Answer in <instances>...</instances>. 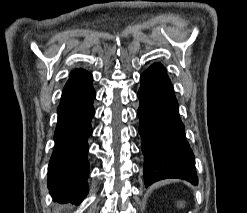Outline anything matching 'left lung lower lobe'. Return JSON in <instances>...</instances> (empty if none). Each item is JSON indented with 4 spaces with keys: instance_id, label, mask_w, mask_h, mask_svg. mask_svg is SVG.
Returning a JSON list of instances; mask_svg holds the SVG:
<instances>
[{
    "instance_id": "0a47b994",
    "label": "left lung lower lobe",
    "mask_w": 247,
    "mask_h": 213,
    "mask_svg": "<svg viewBox=\"0 0 247 213\" xmlns=\"http://www.w3.org/2000/svg\"><path fill=\"white\" fill-rule=\"evenodd\" d=\"M139 133L144 153L146 187L165 178H180L196 185L193 152L185 138L178 103L166 69L160 63L140 76Z\"/></svg>"
}]
</instances>
